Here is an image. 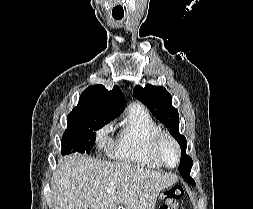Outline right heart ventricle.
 I'll return each instance as SVG.
<instances>
[{
	"label": "right heart ventricle",
	"mask_w": 253,
	"mask_h": 209,
	"mask_svg": "<svg viewBox=\"0 0 253 209\" xmlns=\"http://www.w3.org/2000/svg\"><path fill=\"white\" fill-rule=\"evenodd\" d=\"M160 130L144 106L133 104L129 107L127 116L110 147V154L125 163L159 169L161 165L150 155L149 147L153 137Z\"/></svg>",
	"instance_id": "right-heart-ventricle-1"
}]
</instances>
